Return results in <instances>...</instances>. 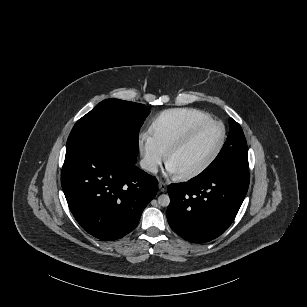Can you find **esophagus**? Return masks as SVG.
<instances>
[{
  "label": "esophagus",
  "mask_w": 307,
  "mask_h": 307,
  "mask_svg": "<svg viewBox=\"0 0 307 307\" xmlns=\"http://www.w3.org/2000/svg\"><path fill=\"white\" fill-rule=\"evenodd\" d=\"M166 189H167L166 183L163 182V181H160V182H159V190H160L161 192H166Z\"/></svg>",
  "instance_id": "esophagus-1"
}]
</instances>
